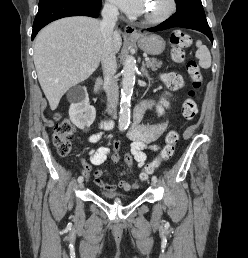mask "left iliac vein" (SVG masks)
<instances>
[{
	"mask_svg": "<svg viewBox=\"0 0 248 258\" xmlns=\"http://www.w3.org/2000/svg\"><path fill=\"white\" fill-rule=\"evenodd\" d=\"M151 186H152L153 188H155V187H156V182L152 181V182H151Z\"/></svg>",
	"mask_w": 248,
	"mask_h": 258,
	"instance_id": "left-iliac-vein-1",
	"label": "left iliac vein"
}]
</instances>
